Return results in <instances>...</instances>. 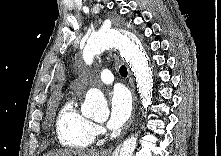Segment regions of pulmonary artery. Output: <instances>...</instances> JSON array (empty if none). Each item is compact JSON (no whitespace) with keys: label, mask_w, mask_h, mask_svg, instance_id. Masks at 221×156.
I'll return each instance as SVG.
<instances>
[{"label":"pulmonary artery","mask_w":221,"mask_h":156,"mask_svg":"<svg viewBox=\"0 0 221 156\" xmlns=\"http://www.w3.org/2000/svg\"><path fill=\"white\" fill-rule=\"evenodd\" d=\"M99 80L104 84H110L113 82L114 76L110 70L104 69L99 75Z\"/></svg>","instance_id":"pulmonary-artery-1"}]
</instances>
